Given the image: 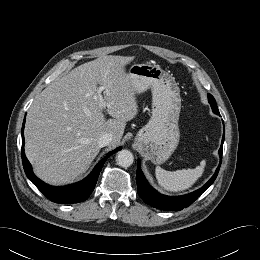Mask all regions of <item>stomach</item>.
Wrapping results in <instances>:
<instances>
[{
  "mask_svg": "<svg viewBox=\"0 0 260 260\" xmlns=\"http://www.w3.org/2000/svg\"><path fill=\"white\" fill-rule=\"evenodd\" d=\"M128 77L135 94L152 91L151 118L135 141L149 160L162 164L176 150L180 139V89L172 75L149 63L132 65Z\"/></svg>",
  "mask_w": 260,
  "mask_h": 260,
  "instance_id": "0dacf381",
  "label": "stomach"
}]
</instances>
